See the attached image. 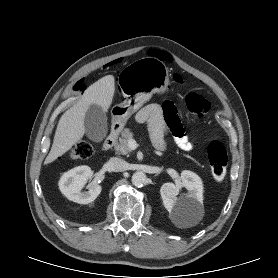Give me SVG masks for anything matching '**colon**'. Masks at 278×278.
Listing matches in <instances>:
<instances>
[{
	"instance_id": "5ec220e1",
	"label": "colon",
	"mask_w": 278,
	"mask_h": 278,
	"mask_svg": "<svg viewBox=\"0 0 278 278\" xmlns=\"http://www.w3.org/2000/svg\"><path fill=\"white\" fill-rule=\"evenodd\" d=\"M174 80L182 84L183 79L179 74L174 75ZM85 85L82 81L75 84V91H83ZM186 106L189 112L196 117H202L210 111L209 102L197 93H190L185 98ZM93 153L92 145L87 141L78 142L73 150L72 156L76 159H87ZM207 155L211 172L216 181H222L227 171L228 156L224 144L219 140H213L208 144Z\"/></svg>"
}]
</instances>
